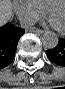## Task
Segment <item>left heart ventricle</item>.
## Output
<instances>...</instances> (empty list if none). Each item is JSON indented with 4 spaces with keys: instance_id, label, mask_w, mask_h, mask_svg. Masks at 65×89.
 Masks as SVG:
<instances>
[{
    "instance_id": "1",
    "label": "left heart ventricle",
    "mask_w": 65,
    "mask_h": 89,
    "mask_svg": "<svg viewBox=\"0 0 65 89\" xmlns=\"http://www.w3.org/2000/svg\"><path fill=\"white\" fill-rule=\"evenodd\" d=\"M49 14L59 24L60 29H65V7L63 5H51Z\"/></svg>"
}]
</instances>
